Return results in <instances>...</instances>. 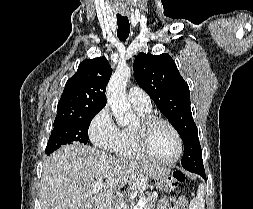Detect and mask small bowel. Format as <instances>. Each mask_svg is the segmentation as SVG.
Wrapping results in <instances>:
<instances>
[{"label": "small bowel", "mask_w": 253, "mask_h": 209, "mask_svg": "<svg viewBox=\"0 0 253 209\" xmlns=\"http://www.w3.org/2000/svg\"><path fill=\"white\" fill-rule=\"evenodd\" d=\"M157 209H176V206L172 205L171 197H165L159 202Z\"/></svg>", "instance_id": "obj_1"}]
</instances>
